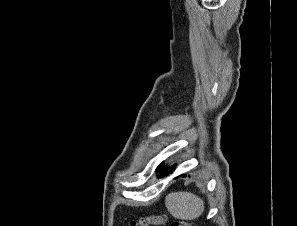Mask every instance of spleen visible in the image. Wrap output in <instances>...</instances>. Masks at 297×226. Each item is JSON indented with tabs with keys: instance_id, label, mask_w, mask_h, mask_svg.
<instances>
[{
	"instance_id": "spleen-1",
	"label": "spleen",
	"mask_w": 297,
	"mask_h": 226,
	"mask_svg": "<svg viewBox=\"0 0 297 226\" xmlns=\"http://www.w3.org/2000/svg\"><path fill=\"white\" fill-rule=\"evenodd\" d=\"M165 205L173 217L182 220L196 219L204 211V201L187 191L169 193Z\"/></svg>"
}]
</instances>
